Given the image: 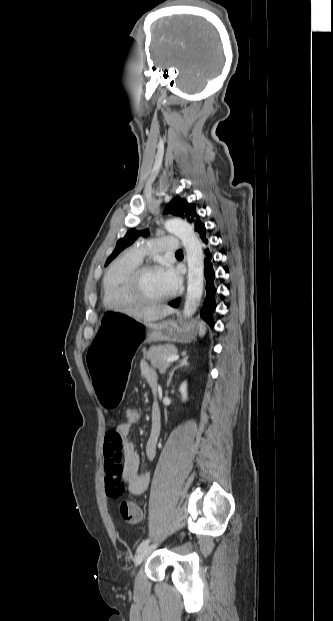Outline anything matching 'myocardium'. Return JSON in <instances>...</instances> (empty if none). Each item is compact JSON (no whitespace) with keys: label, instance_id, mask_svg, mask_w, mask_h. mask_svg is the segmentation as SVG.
<instances>
[{"label":"myocardium","instance_id":"1","mask_svg":"<svg viewBox=\"0 0 333 621\" xmlns=\"http://www.w3.org/2000/svg\"><path fill=\"white\" fill-rule=\"evenodd\" d=\"M156 266L145 264L138 265L126 276L123 282V293L125 297L134 304L141 305H158L166 302L171 297V294H167L160 298H147L143 296L138 289L140 277L147 272L156 270Z\"/></svg>","mask_w":333,"mask_h":621}]
</instances>
